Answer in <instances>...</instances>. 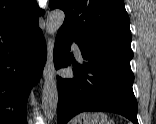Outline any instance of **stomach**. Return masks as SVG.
<instances>
[{
	"instance_id": "0dacf381",
	"label": "stomach",
	"mask_w": 156,
	"mask_h": 124,
	"mask_svg": "<svg viewBox=\"0 0 156 124\" xmlns=\"http://www.w3.org/2000/svg\"><path fill=\"white\" fill-rule=\"evenodd\" d=\"M71 124H114V122L104 114L81 115L75 118Z\"/></svg>"
}]
</instances>
